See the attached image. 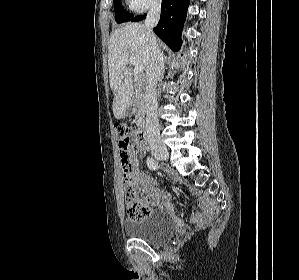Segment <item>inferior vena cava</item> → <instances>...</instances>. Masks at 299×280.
Returning <instances> with one entry per match:
<instances>
[{
  "instance_id": "602c4592",
  "label": "inferior vena cava",
  "mask_w": 299,
  "mask_h": 280,
  "mask_svg": "<svg viewBox=\"0 0 299 280\" xmlns=\"http://www.w3.org/2000/svg\"><path fill=\"white\" fill-rule=\"evenodd\" d=\"M160 13L161 1L155 0L151 5L150 11L145 19V27L147 29L150 41V61L146 71L144 101L146 108L147 139L150 145L161 143L157 115L158 105L156 86L158 81L162 79L165 69L163 53H161L156 41V37L152 31L159 21Z\"/></svg>"
}]
</instances>
